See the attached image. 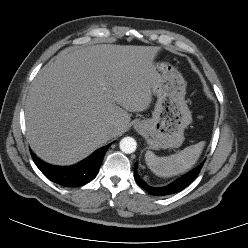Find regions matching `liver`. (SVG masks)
<instances>
[{
    "instance_id": "6515ba94",
    "label": "liver",
    "mask_w": 248,
    "mask_h": 248,
    "mask_svg": "<svg viewBox=\"0 0 248 248\" xmlns=\"http://www.w3.org/2000/svg\"><path fill=\"white\" fill-rule=\"evenodd\" d=\"M159 51L101 44L66 48L50 60L32 82L25 104L27 140L36 155L71 165L126 132L128 112L144 111L152 102Z\"/></svg>"
}]
</instances>
